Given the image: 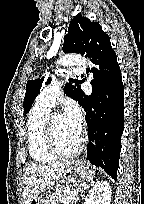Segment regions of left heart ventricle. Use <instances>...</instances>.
<instances>
[{
  "label": "left heart ventricle",
  "instance_id": "left-heart-ventricle-1",
  "mask_svg": "<svg viewBox=\"0 0 144 204\" xmlns=\"http://www.w3.org/2000/svg\"><path fill=\"white\" fill-rule=\"evenodd\" d=\"M53 129L57 143L62 150L70 151L75 147L79 138L70 131L61 115L54 116Z\"/></svg>",
  "mask_w": 144,
  "mask_h": 204
}]
</instances>
